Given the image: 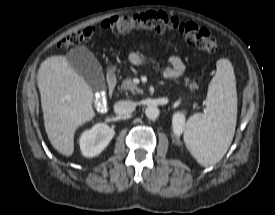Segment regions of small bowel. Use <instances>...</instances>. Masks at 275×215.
Listing matches in <instances>:
<instances>
[{
    "label": "small bowel",
    "instance_id": "1",
    "mask_svg": "<svg viewBox=\"0 0 275 215\" xmlns=\"http://www.w3.org/2000/svg\"><path fill=\"white\" fill-rule=\"evenodd\" d=\"M129 60L132 63L139 62V57L136 54H129L128 55ZM185 70V66L181 60V58L177 55H173L169 59V66H167L164 71L163 75L167 79H174L180 77Z\"/></svg>",
    "mask_w": 275,
    "mask_h": 215
}]
</instances>
